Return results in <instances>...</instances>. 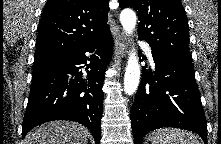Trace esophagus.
<instances>
[{
	"label": "esophagus",
	"mask_w": 221,
	"mask_h": 144,
	"mask_svg": "<svg viewBox=\"0 0 221 144\" xmlns=\"http://www.w3.org/2000/svg\"><path fill=\"white\" fill-rule=\"evenodd\" d=\"M116 55L120 58L126 56L127 53V37L121 28H117V36L115 38Z\"/></svg>",
	"instance_id": "34e87169"
}]
</instances>
